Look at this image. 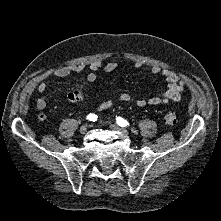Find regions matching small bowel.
Listing matches in <instances>:
<instances>
[{
    "label": "small bowel",
    "instance_id": "small-bowel-1",
    "mask_svg": "<svg viewBox=\"0 0 221 221\" xmlns=\"http://www.w3.org/2000/svg\"><path fill=\"white\" fill-rule=\"evenodd\" d=\"M88 66L89 72L87 73L85 77V82L79 86V90L83 92V96L79 101H72L73 93L68 92L66 94V98L69 101L72 102H80L84 99L85 93H84V88L86 84H91L94 83L97 80V73L99 70H103L105 72H111L114 71L118 68V63L115 61L112 62H106L103 63L100 60H93L90 61L88 64L86 63H78V64H70V65H65L59 68H56L53 72L52 75L58 78H65L70 76L71 74L78 73L85 69ZM135 67H141V63H135ZM148 73L151 76H158L161 75L167 82V88L161 92L158 95H154L148 98H134L131 94L127 92H123L118 96V100L121 102H134L138 107H145V106H160V105H167L169 103L177 102L180 100L181 95L184 91V82L181 79V77L170 70L167 69H161L157 65H152L148 69ZM29 91L32 90V87H29ZM37 90L40 93H45L49 90V84L41 80L37 84ZM115 104L114 99H109L105 102H102L101 104L98 105L97 109L99 111L106 110L110 107H112ZM47 106V102L44 98H38L36 101V107L39 110H44ZM39 120L44 122L48 120V116L44 113H41L39 115Z\"/></svg>",
    "mask_w": 221,
    "mask_h": 221
}]
</instances>
